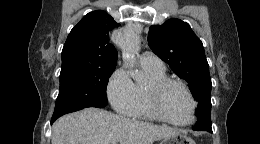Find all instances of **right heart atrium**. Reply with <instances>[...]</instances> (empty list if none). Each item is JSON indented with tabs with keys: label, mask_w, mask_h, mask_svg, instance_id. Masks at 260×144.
<instances>
[{
	"label": "right heart atrium",
	"mask_w": 260,
	"mask_h": 144,
	"mask_svg": "<svg viewBox=\"0 0 260 144\" xmlns=\"http://www.w3.org/2000/svg\"><path fill=\"white\" fill-rule=\"evenodd\" d=\"M106 94L116 112L128 115L134 104L135 94L134 84L124 68H118L112 73L107 82Z\"/></svg>",
	"instance_id": "right-heart-atrium-1"
}]
</instances>
